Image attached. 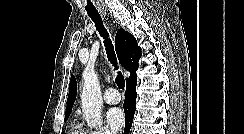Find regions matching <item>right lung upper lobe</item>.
Here are the masks:
<instances>
[{"label":"right lung upper lobe","mask_w":244,"mask_h":134,"mask_svg":"<svg viewBox=\"0 0 244 134\" xmlns=\"http://www.w3.org/2000/svg\"><path fill=\"white\" fill-rule=\"evenodd\" d=\"M115 49L120 64L130 72V77L126 80L136 77V70L138 69V60L141 57V49L138 47L137 41L132 34L119 29L115 37ZM77 83L75 77L72 76L70 79L69 95L67 99L66 113L70 114L72 106L76 99Z\"/></svg>","instance_id":"right-lung-upper-lobe-1"}]
</instances>
